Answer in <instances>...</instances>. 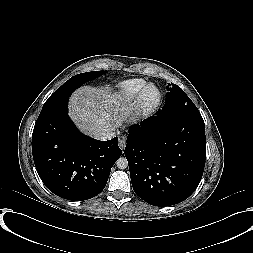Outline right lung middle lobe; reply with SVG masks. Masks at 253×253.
<instances>
[{"instance_id":"1","label":"right lung middle lobe","mask_w":253,"mask_h":253,"mask_svg":"<svg viewBox=\"0 0 253 253\" xmlns=\"http://www.w3.org/2000/svg\"><path fill=\"white\" fill-rule=\"evenodd\" d=\"M103 73L104 71H92L71 77L48 98L42 109L50 108L67 101L75 89L83 83L101 76Z\"/></svg>"}]
</instances>
